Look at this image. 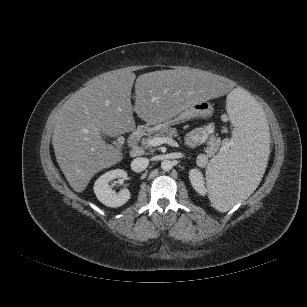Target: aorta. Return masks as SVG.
Returning a JSON list of instances; mask_svg holds the SVG:
<instances>
[{
  "label": "aorta",
  "mask_w": 307,
  "mask_h": 307,
  "mask_svg": "<svg viewBox=\"0 0 307 307\" xmlns=\"http://www.w3.org/2000/svg\"><path fill=\"white\" fill-rule=\"evenodd\" d=\"M161 168L164 171H170L173 168V163L170 160H163L161 162Z\"/></svg>",
  "instance_id": "aorta-1"
}]
</instances>
